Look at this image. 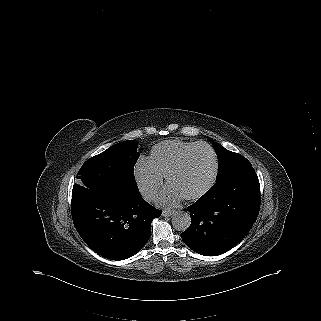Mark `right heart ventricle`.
<instances>
[{
  "label": "right heart ventricle",
  "instance_id": "right-heart-ventricle-1",
  "mask_svg": "<svg viewBox=\"0 0 321 321\" xmlns=\"http://www.w3.org/2000/svg\"><path fill=\"white\" fill-rule=\"evenodd\" d=\"M197 144L177 139L162 141L152 147L148 160L152 168L163 177Z\"/></svg>",
  "mask_w": 321,
  "mask_h": 321
}]
</instances>
